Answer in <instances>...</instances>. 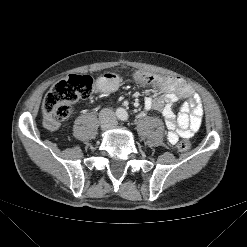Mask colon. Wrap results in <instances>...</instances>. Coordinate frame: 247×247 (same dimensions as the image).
<instances>
[{"instance_id": "obj_1", "label": "colon", "mask_w": 247, "mask_h": 247, "mask_svg": "<svg viewBox=\"0 0 247 247\" xmlns=\"http://www.w3.org/2000/svg\"><path fill=\"white\" fill-rule=\"evenodd\" d=\"M136 81L146 84H161L166 81V77L159 74L137 71L133 73ZM93 81L88 75H69L58 81L44 103V123L49 129L57 128L70 113L72 103L88 98L92 93ZM192 146L190 139L185 138L178 143V148L182 151L189 150Z\"/></svg>"}]
</instances>
